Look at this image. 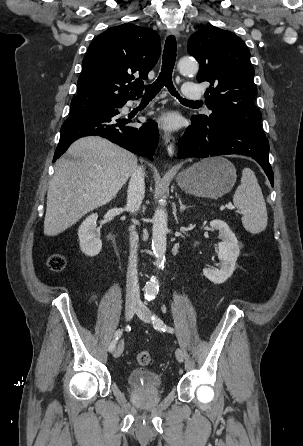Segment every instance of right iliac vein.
Returning a JSON list of instances; mask_svg holds the SVG:
<instances>
[{
    "label": "right iliac vein",
    "mask_w": 303,
    "mask_h": 446,
    "mask_svg": "<svg viewBox=\"0 0 303 446\" xmlns=\"http://www.w3.org/2000/svg\"><path fill=\"white\" fill-rule=\"evenodd\" d=\"M136 310H137V304L131 303V302L126 303V305H125V317H126V320H130L133 317V315L136 312ZM123 350H124V343H123V341H121L117 345V347H116V349H115V351L113 353V356L115 358H118L122 354Z\"/></svg>",
    "instance_id": "1"
}]
</instances>
